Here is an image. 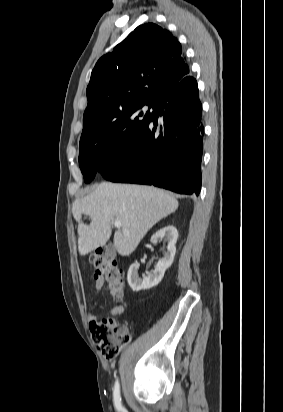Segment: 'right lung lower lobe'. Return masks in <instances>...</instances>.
Here are the masks:
<instances>
[{
  "label": "right lung lower lobe",
  "mask_w": 283,
  "mask_h": 412,
  "mask_svg": "<svg viewBox=\"0 0 283 412\" xmlns=\"http://www.w3.org/2000/svg\"><path fill=\"white\" fill-rule=\"evenodd\" d=\"M201 115L197 82L188 76L159 100L133 146L100 173L113 182L153 184L198 195L204 136Z\"/></svg>",
  "instance_id": "98d812e1"
}]
</instances>
